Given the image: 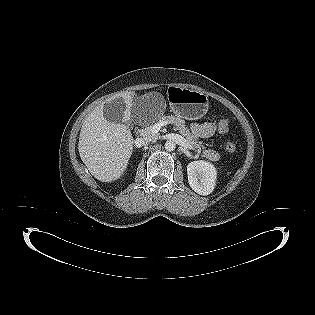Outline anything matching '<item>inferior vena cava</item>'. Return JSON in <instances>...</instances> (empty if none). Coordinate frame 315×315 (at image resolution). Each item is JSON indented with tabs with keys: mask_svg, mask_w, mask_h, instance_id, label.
<instances>
[{
	"mask_svg": "<svg viewBox=\"0 0 315 315\" xmlns=\"http://www.w3.org/2000/svg\"><path fill=\"white\" fill-rule=\"evenodd\" d=\"M157 138H154V137H150V136H145L143 138H138L136 140V144L138 147H141V146H145V145H148L150 142H153L155 141Z\"/></svg>",
	"mask_w": 315,
	"mask_h": 315,
	"instance_id": "obj_1",
	"label": "inferior vena cava"
}]
</instances>
